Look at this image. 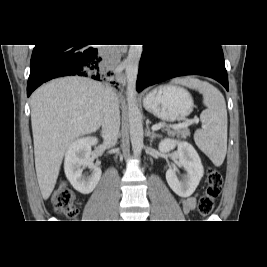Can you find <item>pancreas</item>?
Returning <instances> with one entry per match:
<instances>
[{
	"label": "pancreas",
	"instance_id": "cf45deb5",
	"mask_svg": "<svg viewBox=\"0 0 267 267\" xmlns=\"http://www.w3.org/2000/svg\"><path fill=\"white\" fill-rule=\"evenodd\" d=\"M161 125L166 126L165 123H161ZM163 131H166L169 136H172V137L177 136L182 139H186L188 136H190V131L188 128L170 129L169 127H166Z\"/></svg>",
	"mask_w": 267,
	"mask_h": 267
}]
</instances>
